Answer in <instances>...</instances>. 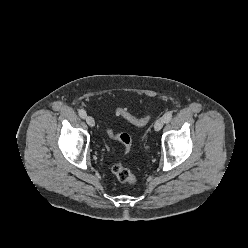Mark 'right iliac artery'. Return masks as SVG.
Masks as SVG:
<instances>
[{"instance_id":"1","label":"right iliac artery","mask_w":248,"mask_h":248,"mask_svg":"<svg viewBox=\"0 0 248 248\" xmlns=\"http://www.w3.org/2000/svg\"><path fill=\"white\" fill-rule=\"evenodd\" d=\"M79 116L84 119L87 116L86 111L84 109L79 110Z\"/></svg>"}]
</instances>
